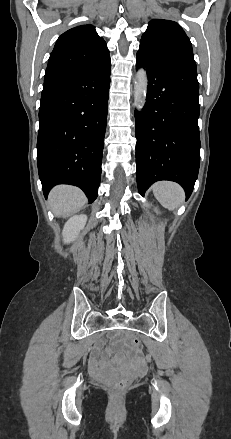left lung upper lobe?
Wrapping results in <instances>:
<instances>
[{"instance_id": "5c2ea615", "label": "left lung upper lobe", "mask_w": 231, "mask_h": 439, "mask_svg": "<svg viewBox=\"0 0 231 439\" xmlns=\"http://www.w3.org/2000/svg\"><path fill=\"white\" fill-rule=\"evenodd\" d=\"M137 54L159 64L196 70L191 42L174 21L151 20L142 35Z\"/></svg>"}]
</instances>
